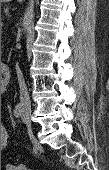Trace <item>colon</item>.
Segmentation results:
<instances>
[{
  "instance_id": "obj_1",
  "label": "colon",
  "mask_w": 109,
  "mask_h": 170,
  "mask_svg": "<svg viewBox=\"0 0 109 170\" xmlns=\"http://www.w3.org/2000/svg\"><path fill=\"white\" fill-rule=\"evenodd\" d=\"M6 170H35V169H31L28 168L24 165H12V164H8L6 166Z\"/></svg>"
}]
</instances>
